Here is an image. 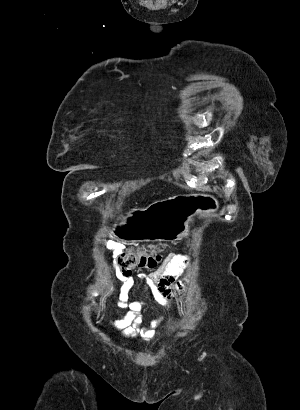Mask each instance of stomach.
<instances>
[{
    "mask_svg": "<svg viewBox=\"0 0 300 410\" xmlns=\"http://www.w3.org/2000/svg\"><path fill=\"white\" fill-rule=\"evenodd\" d=\"M219 210L217 199L210 194H189L156 202L129 211L116 222L114 236L129 241H176L189 231L196 215H207Z\"/></svg>",
    "mask_w": 300,
    "mask_h": 410,
    "instance_id": "stomach-1",
    "label": "stomach"
}]
</instances>
